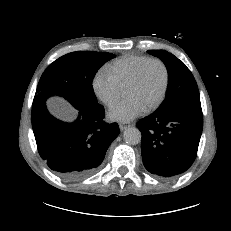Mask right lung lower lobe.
<instances>
[{
  "instance_id": "right-lung-lower-lobe-1",
  "label": "right lung lower lobe",
  "mask_w": 231,
  "mask_h": 231,
  "mask_svg": "<svg viewBox=\"0 0 231 231\" xmlns=\"http://www.w3.org/2000/svg\"><path fill=\"white\" fill-rule=\"evenodd\" d=\"M45 101L34 99L31 113L41 158L64 179L79 180L92 175L118 136V125L103 121L104 108L98 103L90 107H75L77 119L62 122L48 112Z\"/></svg>"
}]
</instances>
